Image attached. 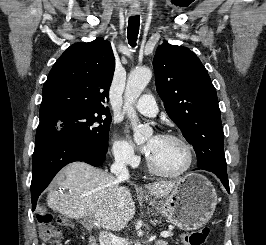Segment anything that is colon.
I'll list each match as a JSON object with an SVG mask.
<instances>
[{
	"instance_id": "5ec220e1",
	"label": "colon",
	"mask_w": 266,
	"mask_h": 245,
	"mask_svg": "<svg viewBox=\"0 0 266 245\" xmlns=\"http://www.w3.org/2000/svg\"><path fill=\"white\" fill-rule=\"evenodd\" d=\"M37 226L43 245H62L60 234L52 223V214L47 211H40L37 214ZM210 234L208 227L186 233L183 239L186 245H204V242Z\"/></svg>"
}]
</instances>
